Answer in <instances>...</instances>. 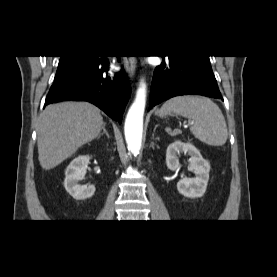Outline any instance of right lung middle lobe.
<instances>
[{
	"mask_svg": "<svg viewBox=\"0 0 277 277\" xmlns=\"http://www.w3.org/2000/svg\"><path fill=\"white\" fill-rule=\"evenodd\" d=\"M97 56H61L59 60V66L54 78V81H59L79 69L93 63Z\"/></svg>",
	"mask_w": 277,
	"mask_h": 277,
	"instance_id": "1",
	"label": "right lung middle lobe"
}]
</instances>
